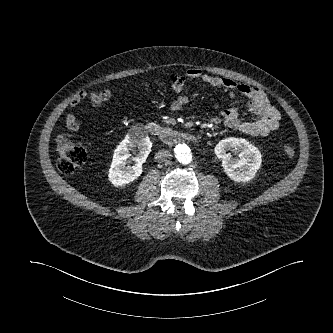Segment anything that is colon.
Segmentation results:
<instances>
[{
    "mask_svg": "<svg viewBox=\"0 0 333 333\" xmlns=\"http://www.w3.org/2000/svg\"><path fill=\"white\" fill-rule=\"evenodd\" d=\"M57 166L64 174H70L87 161L85 149L77 145L66 136H60L56 140ZM285 157L292 158L295 155V148L286 145L283 148Z\"/></svg>",
    "mask_w": 333,
    "mask_h": 333,
    "instance_id": "obj_1",
    "label": "colon"
}]
</instances>
